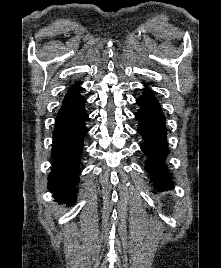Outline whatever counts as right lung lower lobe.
<instances>
[{"label": "right lung lower lobe", "instance_id": "1", "mask_svg": "<svg viewBox=\"0 0 221 268\" xmlns=\"http://www.w3.org/2000/svg\"><path fill=\"white\" fill-rule=\"evenodd\" d=\"M84 104L85 99L81 95L64 100L53 131V165L48 188L55 192L56 199L67 204L74 203L77 196L78 169L89 116Z\"/></svg>", "mask_w": 221, "mask_h": 268}]
</instances>
